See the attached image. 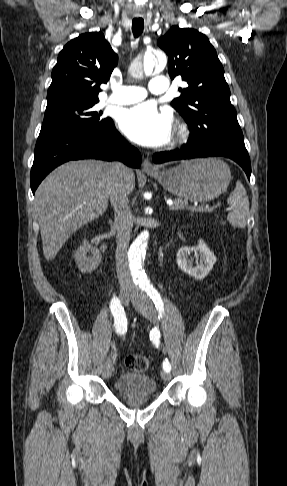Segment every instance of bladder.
Returning a JSON list of instances; mask_svg holds the SVG:
<instances>
[{
	"label": "bladder",
	"mask_w": 287,
	"mask_h": 486,
	"mask_svg": "<svg viewBox=\"0 0 287 486\" xmlns=\"http://www.w3.org/2000/svg\"><path fill=\"white\" fill-rule=\"evenodd\" d=\"M115 390L130 396H151L156 393L157 384L153 377L147 374L124 373L114 382Z\"/></svg>",
	"instance_id": "obj_1"
}]
</instances>
